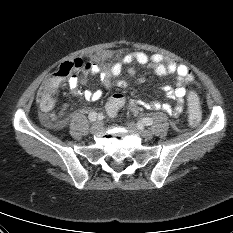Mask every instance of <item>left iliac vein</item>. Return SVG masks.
Wrapping results in <instances>:
<instances>
[{
  "mask_svg": "<svg viewBox=\"0 0 233 233\" xmlns=\"http://www.w3.org/2000/svg\"><path fill=\"white\" fill-rule=\"evenodd\" d=\"M128 127L132 130H136L145 139H152L153 135L149 130L144 129L142 124H135L133 122L128 123Z\"/></svg>",
  "mask_w": 233,
  "mask_h": 233,
  "instance_id": "4c4485c4",
  "label": "left iliac vein"
}]
</instances>
